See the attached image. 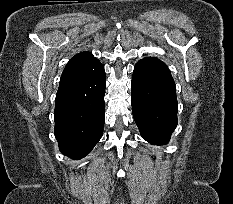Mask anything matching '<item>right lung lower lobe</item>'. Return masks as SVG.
Masks as SVG:
<instances>
[{
	"instance_id": "1",
	"label": "right lung lower lobe",
	"mask_w": 233,
	"mask_h": 204,
	"mask_svg": "<svg viewBox=\"0 0 233 204\" xmlns=\"http://www.w3.org/2000/svg\"><path fill=\"white\" fill-rule=\"evenodd\" d=\"M105 88L103 65L87 77L59 86L54 133L64 155L83 158L99 142L105 120Z\"/></svg>"
}]
</instances>
